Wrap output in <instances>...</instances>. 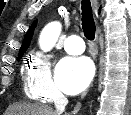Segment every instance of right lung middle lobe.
I'll return each mask as SVG.
<instances>
[{"mask_svg":"<svg viewBox=\"0 0 131 115\" xmlns=\"http://www.w3.org/2000/svg\"><path fill=\"white\" fill-rule=\"evenodd\" d=\"M22 57V54L18 56V60Z\"/></svg>","mask_w":131,"mask_h":115,"instance_id":"obj_1","label":"right lung middle lobe"}]
</instances>
